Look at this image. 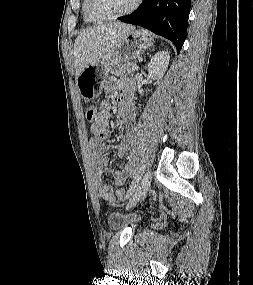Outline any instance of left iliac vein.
Here are the masks:
<instances>
[{
  "instance_id": "4c4485c4",
  "label": "left iliac vein",
  "mask_w": 253,
  "mask_h": 285,
  "mask_svg": "<svg viewBox=\"0 0 253 285\" xmlns=\"http://www.w3.org/2000/svg\"><path fill=\"white\" fill-rule=\"evenodd\" d=\"M151 180H152V173L151 171H148L142 178L139 186L136 189V192L129 200L127 208L134 207L144 197V195L146 194V192L150 187Z\"/></svg>"
}]
</instances>
